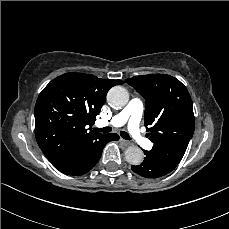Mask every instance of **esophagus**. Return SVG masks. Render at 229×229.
Wrapping results in <instances>:
<instances>
[{"mask_svg": "<svg viewBox=\"0 0 229 229\" xmlns=\"http://www.w3.org/2000/svg\"><path fill=\"white\" fill-rule=\"evenodd\" d=\"M120 142L124 145V146H130L131 145V143L129 142V141H127V140H124V139H120Z\"/></svg>", "mask_w": 229, "mask_h": 229, "instance_id": "1", "label": "esophagus"}]
</instances>
